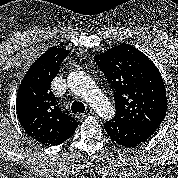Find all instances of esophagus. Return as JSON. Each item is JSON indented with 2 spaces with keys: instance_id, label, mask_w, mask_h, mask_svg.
Segmentation results:
<instances>
[{
  "instance_id": "34e87169",
  "label": "esophagus",
  "mask_w": 178,
  "mask_h": 178,
  "mask_svg": "<svg viewBox=\"0 0 178 178\" xmlns=\"http://www.w3.org/2000/svg\"><path fill=\"white\" fill-rule=\"evenodd\" d=\"M92 113V109H87L84 114L78 113L76 114V118L80 119L82 117L88 116Z\"/></svg>"
}]
</instances>
